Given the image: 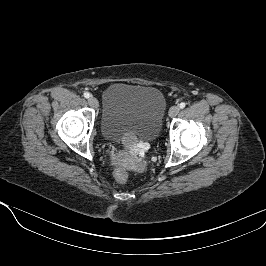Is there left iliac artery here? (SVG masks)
I'll return each instance as SVG.
<instances>
[{"mask_svg": "<svg viewBox=\"0 0 266 266\" xmlns=\"http://www.w3.org/2000/svg\"><path fill=\"white\" fill-rule=\"evenodd\" d=\"M185 106H186V103H185V102H182V103H180V105H179V107H180L181 109L185 108Z\"/></svg>", "mask_w": 266, "mask_h": 266, "instance_id": "left-iliac-artery-1", "label": "left iliac artery"}]
</instances>
